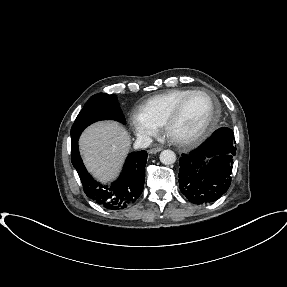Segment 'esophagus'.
Returning <instances> with one entry per match:
<instances>
[{
    "mask_svg": "<svg viewBox=\"0 0 287 287\" xmlns=\"http://www.w3.org/2000/svg\"><path fill=\"white\" fill-rule=\"evenodd\" d=\"M162 150V147H153L149 150L150 154H156Z\"/></svg>",
    "mask_w": 287,
    "mask_h": 287,
    "instance_id": "1",
    "label": "esophagus"
}]
</instances>
